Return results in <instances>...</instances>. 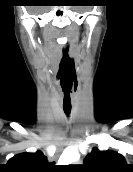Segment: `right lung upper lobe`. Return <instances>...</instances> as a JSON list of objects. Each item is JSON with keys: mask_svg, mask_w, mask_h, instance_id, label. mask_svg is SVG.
<instances>
[{"mask_svg": "<svg viewBox=\"0 0 133 172\" xmlns=\"http://www.w3.org/2000/svg\"><path fill=\"white\" fill-rule=\"evenodd\" d=\"M48 169L47 158L40 151L17 154L2 168L4 172H47Z\"/></svg>", "mask_w": 133, "mask_h": 172, "instance_id": "obj_1", "label": "right lung upper lobe"}]
</instances>
